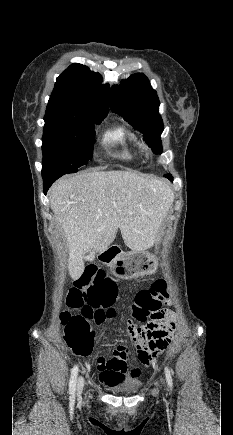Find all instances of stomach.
Returning a JSON list of instances; mask_svg holds the SVG:
<instances>
[{
    "label": "stomach",
    "instance_id": "1",
    "mask_svg": "<svg viewBox=\"0 0 233 435\" xmlns=\"http://www.w3.org/2000/svg\"><path fill=\"white\" fill-rule=\"evenodd\" d=\"M158 265L157 258L147 250H132L116 258L112 264V273L120 279H131L139 275L150 274Z\"/></svg>",
    "mask_w": 233,
    "mask_h": 435
}]
</instances>
